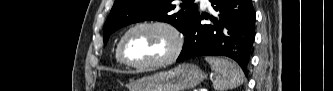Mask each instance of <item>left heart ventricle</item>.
I'll list each match as a JSON object with an SVG mask.
<instances>
[{"mask_svg": "<svg viewBox=\"0 0 333 91\" xmlns=\"http://www.w3.org/2000/svg\"><path fill=\"white\" fill-rule=\"evenodd\" d=\"M173 46L171 36L159 28H140L127 39L126 56L135 63L161 60L169 55Z\"/></svg>", "mask_w": 333, "mask_h": 91, "instance_id": "left-heart-ventricle-1", "label": "left heart ventricle"}]
</instances>
